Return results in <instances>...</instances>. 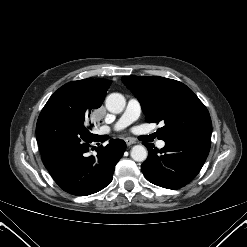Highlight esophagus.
Segmentation results:
<instances>
[{
	"label": "esophagus",
	"mask_w": 247,
	"mask_h": 247,
	"mask_svg": "<svg viewBox=\"0 0 247 247\" xmlns=\"http://www.w3.org/2000/svg\"><path fill=\"white\" fill-rule=\"evenodd\" d=\"M125 142H126V145H127V146H130V145L136 143V141H135L134 139H131V138H127V139L125 140Z\"/></svg>",
	"instance_id": "1"
}]
</instances>
